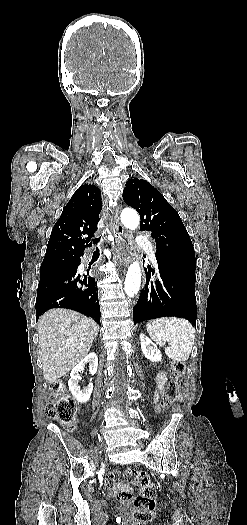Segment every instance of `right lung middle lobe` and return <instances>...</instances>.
<instances>
[{
    "mask_svg": "<svg viewBox=\"0 0 247 525\" xmlns=\"http://www.w3.org/2000/svg\"><path fill=\"white\" fill-rule=\"evenodd\" d=\"M71 264H72V257L54 258L45 267L41 268L40 276L69 267Z\"/></svg>",
    "mask_w": 247,
    "mask_h": 525,
    "instance_id": "1",
    "label": "right lung middle lobe"
}]
</instances>
